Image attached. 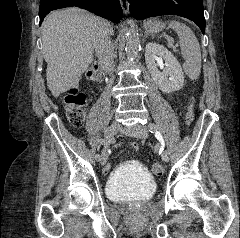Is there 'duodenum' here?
Wrapping results in <instances>:
<instances>
[{"label": "duodenum", "mask_w": 240, "mask_h": 238, "mask_svg": "<svg viewBox=\"0 0 240 238\" xmlns=\"http://www.w3.org/2000/svg\"><path fill=\"white\" fill-rule=\"evenodd\" d=\"M95 67H98L99 68V66L97 65V64H94L93 66H92V68H95ZM100 69V68H99Z\"/></svg>", "instance_id": "1"}]
</instances>
